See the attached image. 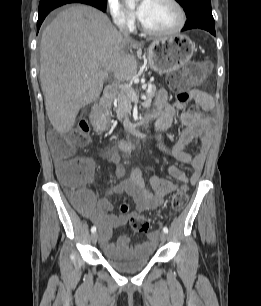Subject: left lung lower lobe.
Returning <instances> with one entry per match:
<instances>
[{
	"label": "left lung lower lobe",
	"instance_id": "left-lung-lower-lobe-1",
	"mask_svg": "<svg viewBox=\"0 0 261 306\" xmlns=\"http://www.w3.org/2000/svg\"><path fill=\"white\" fill-rule=\"evenodd\" d=\"M194 28L204 29L210 32L212 35L216 36L214 19H209L203 16L188 18L182 31L194 29Z\"/></svg>",
	"mask_w": 261,
	"mask_h": 306
}]
</instances>
